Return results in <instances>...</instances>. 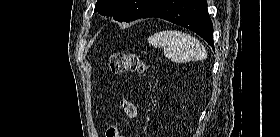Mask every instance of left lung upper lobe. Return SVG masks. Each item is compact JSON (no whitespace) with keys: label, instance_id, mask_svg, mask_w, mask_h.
Here are the masks:
<instances>
[{"label":"left lung upper lobe","instance_id":"left-lung-upper-lobe-1","mask_svg":"<svg viewBox=\"0 0 280 137\" xmlns=\"http://www.w3.org/2000/svg\"><path fill=\"white\" fill-rule=\"evenodd\" d=\"M160 0H97L94 12L113 16L119 22H130L143 16Z\"/></svg>","mask_w":280,"mask_h":137}]
</instances>
